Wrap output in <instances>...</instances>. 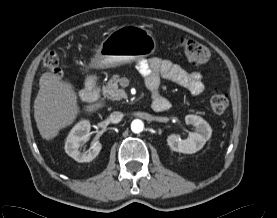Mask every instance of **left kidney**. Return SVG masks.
Segmentation results:
<instances>
[{
    "mask_svg": "<svg viewBox=\"0 0 277 218\" xmlns=\"http://www.w3.org/2000/svg\"><path fill=\"white\" fill-rule=\"evenodd\" d=\"M185 123L194 126L195 131L190 132L185 140L176 134H171L167 138V144L173 151L193 154L202 149L206 141L210 139L212 129L202 117L193 114L185 116Z\"/></svg>",
    "mask_w": 277,
    "mask_h": 218,
    "instance_id": "left-kidney-1",
    "label": "left kidney"
}]
</instances>
